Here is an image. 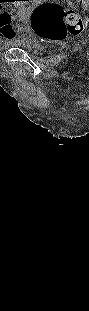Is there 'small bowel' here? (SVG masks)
Instances as JSON below:
<instances>
[{
	"label": "small bowel",
	"mask_w": 89,
	"mask_h": 311,
	"mask_svg": "<svg viewBox=\"0 0 89 311\" xmlns=\"http://www.w3.org/2000/svg\"><path fill=\"white\" fill-rule=\"evenodd\" d=\"M4 31L2 32L3 34V39H4V42L5 44H11L15 41V34L16 32H14V29H11L9 28V26L7 24H5L4 26Z\"/></svg>",
	"instance_id": "small-bowel-1"
}]
</instances>
